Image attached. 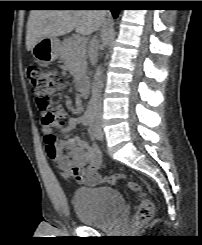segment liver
Instances as JSON below:
<instances>
[{
	"label": "liver",
	"mask_w": 202,
	"mask_h": 245,
	"mask_svg": "<svg viewBox=\"0 0 202 245\" xmlns=\"http://www.w3.org/2000/svg\"><path fill=\"white\" fill-rule=\"evenodd\" d=\"M105 16L106 12L96 10H32L27 22V50L43 38L62 36L74 29L90 35L103 24Z\"/></svg>",
	"instance_id": "6515ba94"
}]
</instances>
